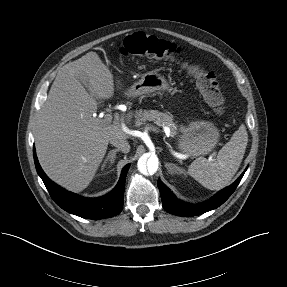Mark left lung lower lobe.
Returning a JSON list of instances; mask_svg holds the SVG:
<instances>
[{"mask_svg": "<svg viewBox=\"0 0 287 287\" xmlns=\"http://www.w3.org/2000/svg\"><path fill=\"white\" fill-rule=\"evenodd\" d=\"M245 171L233 184L222 189L212 198L200 204H187L178 200L170 191V189L166 185H164L162 181L158 180L157 185L160 190L163 208L171 214L186 217L200 215L210 210H213L223 204L235 191Z\"/></svg>", "mask_w": 287, "mask_h": 287, "instance_id": "1", "label": "left lung lower lobe"}]
</instances>
